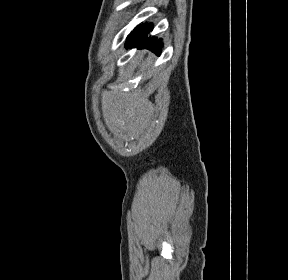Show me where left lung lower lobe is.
I'll list each match as a JSON object with an SVG mask.
<instances>
[{
	"mask_svg": "<svg viewBox=\"0 0 288 280\" xmlns=\"http://www.w3.org/2000/svg\"><path fill=\"white\" fill-rule=\"evenodd\" d=\"M150 30H152V27H150L149 24H142L135 27L127 37L126 48H146L160 55L162 43L160 40H155V37H148Z\"/></svg>",
	"mask_w": 288,
	"mask_h": 280,
	"instance_id": "obj_1",
	"label": "left lung lower lobe"
}]
</instances>
